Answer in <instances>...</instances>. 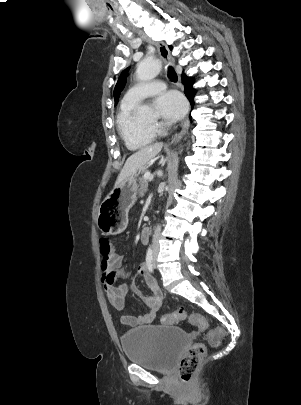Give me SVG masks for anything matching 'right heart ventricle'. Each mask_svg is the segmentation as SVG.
I'll list each match as a JSON object with an SVG mask.
<instances>
[{
    "label": "right heart ventricle",
    "mask_w": 301,
    "mask_h": 405,
    "mask_svg": "<svg viewBox=\"0 0 301 405\" xmlns=\"http://www.w3.org/2000/svg\"><path fill=\"white\" fill-rule=\"evenodd\" d=\"M136 104L123 101L116 116L118 133L125 146L132 151L149 145L155 136L154 131L145 128L136 117Z\"/></svg>",
    "instance_id": "e07e8e85"
}]
</instances>
